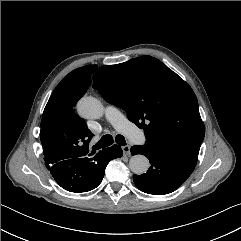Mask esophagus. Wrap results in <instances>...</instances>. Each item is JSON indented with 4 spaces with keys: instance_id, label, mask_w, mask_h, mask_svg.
<instances>
[{
    "instance_id": "1",
    "label": "esophagus",
    "mask_w": 241,
    "mask_h": 241,
    "mask_svg": "<svg viewBox=\"0 0 241 241\" xmlns=\"http://www.w3.org/2000/svg\"><path fill=\"white\" fill-rule=\"evenodd\" d=\"M122 150H123L124 155H130V146L129 145L123 146Z\"/></svg>"
}]
</instances>
